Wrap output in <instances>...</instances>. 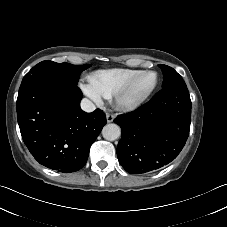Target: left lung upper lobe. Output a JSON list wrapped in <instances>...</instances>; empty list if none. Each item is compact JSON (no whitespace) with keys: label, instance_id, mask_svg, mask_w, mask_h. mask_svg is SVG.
I'll use <instances>...</instances> for the list:
<instances>
[{"label":"left lung upper lobe","instance_id":"1","mask_svg":"<svg viewBox=\"0 0 227 227\" xmlns=\"http://www.w3.org/2000/svg\"><path fill=\"white\" fill-rule=\"evenodd\" d=\"M159 67L163 72L162 88L172 86H186L182 77L173 68L163 64H159Z\"/></svg>","mask_w":227,"mask_h":227}]
</instances>
